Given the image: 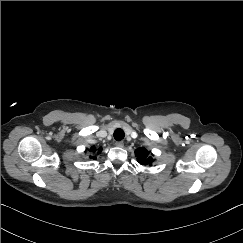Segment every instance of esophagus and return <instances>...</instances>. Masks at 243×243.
<instances>
[{
  "label": "esophagus",
  "instance_id": "1",
  "mask_svg": "<svg viewBox=\"0 0 243 243\" xmlns=\"http://www.w3.org/2000/svg\"><path fill=\"white\" fill-rule=\"evenodd\" d=\"M115 145H116L117 147L122 148V147L124 146V143H123V141H116V142H115Z\"/></svg>",
  "mask_w": 243,
  "mask_h": 243
}]
</instances>
